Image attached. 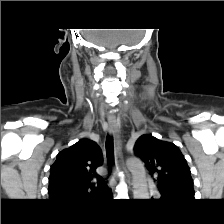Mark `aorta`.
<instances>
[{
	"label": "aorta",
	"instance_id": "aorta-1",
	"mask_svg": "<svg viewBox=\"0 0 224 224\" xmlns=\"http://www.w3.org/2000/svg\"><path fill=\"white\" fill-rule=\"evenodd\" d=\"M126 165L132 174L134 199H148L149 193L146 183V172L144 164L140 159L129 158L126 161Z\"/></svg>",
	"mask_w": 224,
	"mask_h": 224
}]
</instances>
